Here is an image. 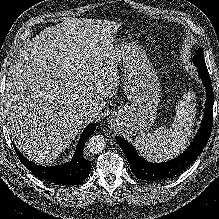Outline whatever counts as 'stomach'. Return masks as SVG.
<instances>
[{
	"mask_svg": "<svg viewBox=\"0 0 219 219\" xmlns=\"http://www.w3.org/2000/svg\"><path fill=\"white\" fill-rule=\"evenodd\" d=\"M112 52L124 70L123 89L128 101L112 114L110 122L129 136L147 132L155 122L160 100L158 74L136 42L117 43Z\"/></svg>",
	"mask_w": 219,
	"mask_h": 219,
	"instance_id": "obj_1",
	"label": "stomach"
}]
</instances>
